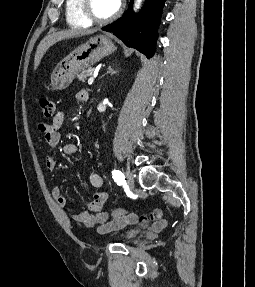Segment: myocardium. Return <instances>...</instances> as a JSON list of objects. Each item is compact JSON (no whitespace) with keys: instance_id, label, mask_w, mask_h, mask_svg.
<instances>
[{"instance_id":"obj_1","label":"myocardium","mask_w":255,"mask_h":287,"mask_svg":"<svg viewBox=\"0 0 255 287\" xmlns=\"http://www.w3.org/2000/svg\"><path fill=\"white\" fill-rule=\"evenodd\" d=\"M90 33H96V32H90ZM91 39H95V38H91ZM125 39H131V38H125ZM132 48H140V47H132Z\"/></svg>"}]
</instances>
